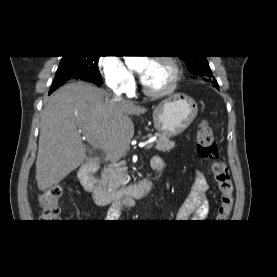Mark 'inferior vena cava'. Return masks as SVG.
<instances>
[{
  "instance_id": "inferior-vena-cava-1",
  "label": "inferior vena cava",
  "mask_w": 277,
  "mask_h": 277,
  "mask_svg": "<svg viewBox=\"0 0 277 277\" xmlns=\"http://www.w3.org/2000/svg\"><path fill=\"white\" fill-rule=\"evenodd\" d=\"M116 98L120 99V95H116Z\"/></svg>"
}]
</instances>
